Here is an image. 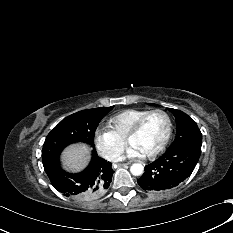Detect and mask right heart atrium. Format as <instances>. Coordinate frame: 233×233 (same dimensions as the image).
<instances>
[{
	"label": "right heart atrium",
	"instance_id": "right-heart-atrium-1",
	"mask_svg": "<svg viewBox=\"0 0 233 233\" xmlns=\"http://www.w3.org/2000/svg\"><path fill=\"white\" fill-rule=\"evenodd\" d=\"M94 143L100 155L109 161H117L125 148V141L110 130L96 132Z\"/></svg>",
	"mask_w": 233,
	"mask_h": 233
}]
</instances>
